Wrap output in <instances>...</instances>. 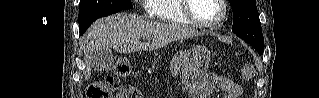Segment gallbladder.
<instances>
[{"instance_id": "gallbladder-1", "label": "gallbladder", "mask_w": 319, "mask_h": 98, "mask_svg": "<svg viewBox=\"0 0 319 98\" xmlns=\"http://www.w3.org/2000/svg\"><path fill=\"white\" fill-rule=\"evenodd\" d=\"M114 60V55L110 49H99L92 55L91 58L94 70L99 72L110 69L114 63Z\"/></svg>"}]
</instances>
